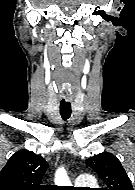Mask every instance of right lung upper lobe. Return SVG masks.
I'll list each match as a JSON object with an SVG mask.
<instances>
[{
	"mask_svg": "<svg viewBox=\"0 0 135 190\" xmlns=\"http://www.w3.org/2000/svg\"><path fill=\"white\" fill-rule=\"evenodd\" d=\"M48 163L32 151L19 150L0 171V190H43L41 179Z\"/></svg>",
	"mask_w": 135,
	"mask_h": 190,
	"instance_id": "1",
	"label": "right lung upper lobe"
}]
</instances>
